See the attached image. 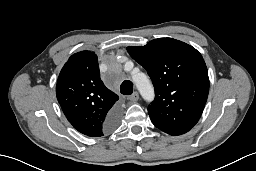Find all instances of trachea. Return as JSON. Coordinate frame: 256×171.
Listing matches in <instances>:
<instances>
[{"label": "trachea", "instance_id": "3493384b", "mask_svg": "<svg viewBox=\"0 0 256 171\" xmlns=\"http://www.w3.org/2000/svg\"><path fill=\"white\" fill-rule=\"evenodd\" d=\"M120 92L123 95H131L133 93V83L129 80L123 81L120 86Z\"/></svg>", "mask_w": 256, "mask_h": 171}]
</instances>
